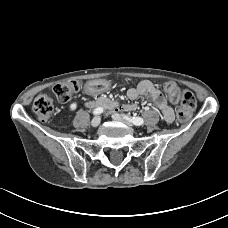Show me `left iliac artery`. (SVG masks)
I'll list each match as a JSON object with an SVG mask.
<instances>
[{
	"label": "left iliac artery",
	"mask_w": 228,
	"mask_h": 228,
	"mask_svg": "<svg viewBox=\"0 0 228 228\" xmlns=\"http://www.w3.org/2000/svg\"><path fill=\"white\" fill-rule=\"evenodd\" d=\"M124 118L131 121L136 126H140L144 124V120L141 117H128L124 115Z\"/></svg>",
	"instance_id": "1"
}]
</instances>
